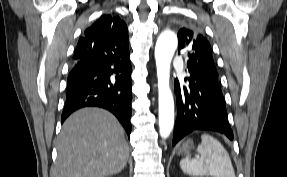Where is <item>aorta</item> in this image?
<instances>
[{
	"instance_id": "1",
	"label": "aorta",
	"mask_w": 287,
	"mask_h": 177,
	"mask_svg": "<svg viewBox=\"0 0 287 177\" xmlns=\"http://www.w3.org/2000/svg\"><path fill=\"white\" fill-rule=\"evenodd\" d=\"M178 45L174 32L163 31L156 42L155 60L158 77L159 134L166 139L174 127V99L170 89V65Z\"/></svg>"
}]
</instances>
